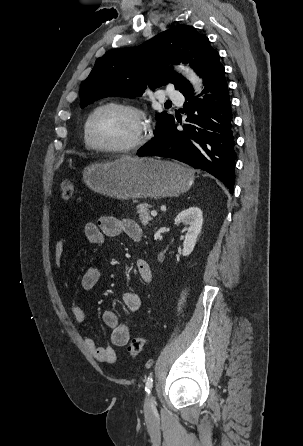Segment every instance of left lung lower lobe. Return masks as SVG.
I'll return each mask as SVG.
<instances>
[{
	"mask_svg": "<svg viewBox=\"0 0 303 446\" xmlns=\"http://www.w3.org/2000/svg\"><path fill=\"white\" fill-rule=\"evenodd\" d=\"M201 77L203 99H196L192 87L181 92L188 102L183 131L177 130L174 118L155 134V138L137 154L167 157L212 174L234 191L235 159L231 131L232 116L225 69L216 53Z\"/></svg>",
	"mask_w": 303,
	"mask_h": 446,
	"instance_id": "0a47b994",
	"label": "left lung lower lobe"
}]
</instances>
